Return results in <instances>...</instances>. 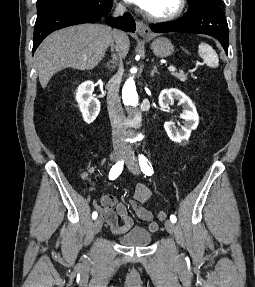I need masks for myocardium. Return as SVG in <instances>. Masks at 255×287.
<instances>
[{"label":"myocardium","mask_w":255,"mask_h":287,"mask_svg":"<svg viewBox=\"0 0 255 287\" xmlns=\"http://www.w3.org/2000/svg\"><path fill=\"white\" fill-rule=\"evenodd\" d=\"M144 33H150V32H144ZM165 33H173V32H165ZM139 39H152V38H139ZM160 39H173V38H160ZM145 48H153V47H145ZM170 48H173V47H170Z\"/></svg>","instance_id":"myocardium-1"}]
</instances>
